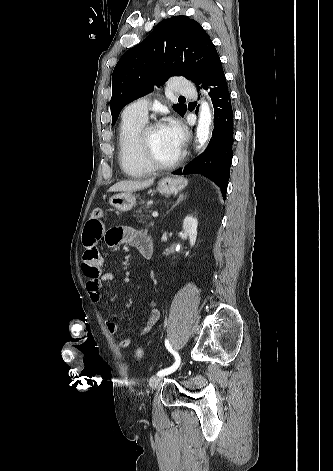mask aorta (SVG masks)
I'll use <instances>...</instances> for the list:
<instances>
[{"instance_id":"aorta-1","label":"aorta","mask_w":333,"mask_h":471,"mask_svg":"<svg viewBox=\"0 0 333 471\" xmlns=\"http://www.w3.org/2000/svg\"><path fill=\"white\" fill-rule=\"evenodd\" d=\"M212 123V116L209 106L206 102H203L200 107L199 120L196 132V141L199 142L201 148L209 138L210 126Z\"/></svg>"}]
</instances>
